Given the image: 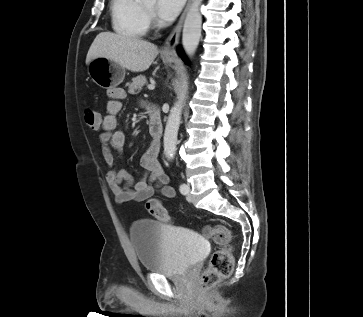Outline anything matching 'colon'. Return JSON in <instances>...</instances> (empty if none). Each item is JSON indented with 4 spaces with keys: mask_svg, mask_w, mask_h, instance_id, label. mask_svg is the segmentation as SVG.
Masks as SVG:
<instances>
[{
    "mask_svg": "<svg viewBox=\"0 0 363 317\" xmlns=\"http://www.w3.org/2000/svg\"><path fill=\"white\" fill-rule=\"evenodd\" d=\"M86 125L93 131H99L102 127V118L99 112L94 109L84 110ZM148 212L156 219L168 223L171 218L157 199H150L146 203ZM205 234L219 247L211 255L208 267L200 277V289L207 291L222 279L229 277L233 270L234 258L230 249L232 233L230 229L222 225L209 226L205 228Z\"/></svg>",
    "mask_w": 363,
    "mask_h": 317,
    "instance_id": "1",
    "label": "colon"
}]
</instances>
